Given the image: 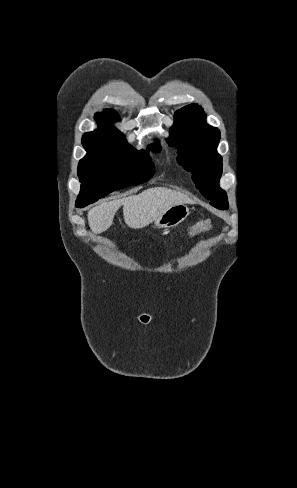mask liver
I'll return each mask as SVG.
<instances>
[{
  "instance_id": "liver-1",
  "label": "liver",
  "mask_w": 297,
  "mask_h": 488,
  "mask_svg": "<svg viewBox=\"0 0 297 488\" xmlns=\"http://www.w3.org/2000/svg\"><path fill=\"white\" fill-rule=\"evenodd\" d=\"M185 194L164 187L147 189L132 195L95 206L88 212V221L94 233L106 231L113 223L115 213L123 206L125 223L132 229L148 226L171 206L189 203Z\"/></svg>"
}]
</instances>
